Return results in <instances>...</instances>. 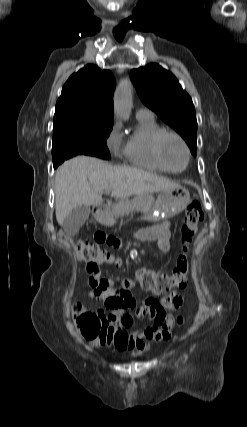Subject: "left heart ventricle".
<instances>
[{
  "mask_svg": "<svg viewBox=\"0 0 247 427\" xmlns=\"http://www.w3.org/2000/svg\"><path fill=\"white\" fill-rule=\"evenodd\" d=\"M163 154L166 162L173 169L178 170L184 167L186 152L177 139L169 137L164 141Z\"/></svg>",
  "mask_w": 247,
  "mask_h": 427,
  "instance_id": "b2bd125f",
  "label": "left heart ventricle"
}]
</instances>
